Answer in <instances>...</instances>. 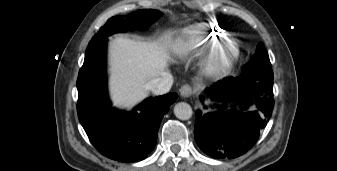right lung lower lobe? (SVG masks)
Segmentation results:
<instances>
[{
  "instance_id": "obj_1",
  "label": "right lung lower lobe",
  "mask_w": 337,
  "mask_h": 171,
  "mask_svg": "<svg viewBox=\"0 0 337 171\" xmlns=\"http://www.w3.org/2000/svg\"><path fill=\"white\" fill-rule=\"evenodd\" d=\"M106 37L88 45L77 79V112L89 140L104 156L137 162L153 150L163 116L178 95L148 98L131 112L110 106L106 86Z\"/></svg>"
}]
</instances>
